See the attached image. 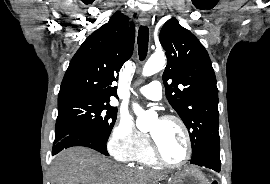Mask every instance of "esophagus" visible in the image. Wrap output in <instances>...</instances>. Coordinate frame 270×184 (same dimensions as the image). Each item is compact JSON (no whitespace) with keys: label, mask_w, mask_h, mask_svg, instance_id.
<instances>
[{"label":"esophagus","mask_w":270,"mask_h":184,"mask_svg":"<svg viewBox=\"0 0 270 184\" xmlns=\"http://www.w3.org/2000/svg\"><path fill=\"white\" fill-rule=\"evenodd\" d=\"M139 21L143 25H148L150 22V16L147 13H143L139 16Z\"/></svg>","instance_id":"esophagus-1"}]
</instances>
